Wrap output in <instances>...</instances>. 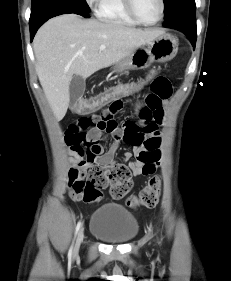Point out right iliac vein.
<instances>
[{"label": "right iliac vein", "instance_id": "obj_1", "mask_svg": "<svg viewBox=\"0 0 231 281\" xmlns=\"http://www.w3.org/2000/svg\"><path fill=\"white\" fill-rule=\"evenodd\" d=\"M83 237H84V233H83V229L80 230L77 240H76V244H75V248H74V255L76 256L78 254L80 245L83 241Z\"/></svg>", "mask_w": 231, "mask_h": 281}]
</instances>
